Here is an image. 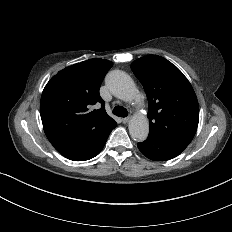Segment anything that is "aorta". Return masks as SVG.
Instances as JSON below:
<instances>
[{
    "mask_svg": "<svg viewBox=\"0 0 232 232\" xmlns=\"http://www.w3.org/2000/svg\"><path fill=\"white\" fill-rule=\"evenodd\" d=\"M111 93L123 101H140V95L133 79L125 72L114 70L106 77ZM129 133L134 140L144 141L149 134V121L145 115L136 114L129 121Z\"/></svg>",
    "mask_w": 232,
    "mask_h": 232,
    "instance_id": "1",
    "label": "aorta"
}]
</instances>
